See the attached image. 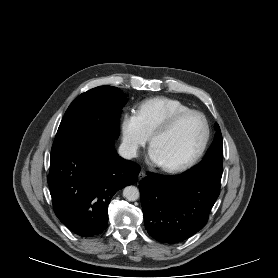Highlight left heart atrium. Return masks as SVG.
<instances>
[{
    "label": "left heart atrium",
    "mask_w": 278,
    "mask_h": 278,
    "mask_svg": "<svg viewBox=\"0 0 278 278\" xmlns=\"http://www.w3.org/2000/svg\"><path fill=\"white\" fill-rule=\"evenodd\" d=\"M148 157H149V160H150V162L152 164H154V165H162L156 150L152 146H151V148L149 150Z\"/></svg>",
    "instance_id": "left-heart-atrium-1"
}]
</instances>
